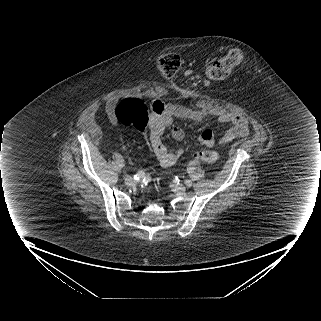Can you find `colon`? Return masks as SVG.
Wrapping results in <instances>:
<instances>
[{
    "label": "colon",
    "mask_w": 321,
    "mask_h": 321,
    "mask_svg": "<svg viewBox=\"0 0 321 321\" xmlns=\"http://www.w3.org/2000/svg\"><path fill=\"white\" fill-rule=\"evenodd\" d=\"M244 53L241 49H231L224 57L215 61L207 69V77L213 80L223 79L242 63ZM156 66L160 74L166 78L174 77L180 67L181 58L176 53H166L157 59ZM116 122L123 127H135L143 131L149 122L147 106L140 100L127 99L118 104L115 109ZM195 157L205 163L217 162L218 153L213 150H202Z\"/></svg>",
    "instance_id": "1"
}]
</instances>
